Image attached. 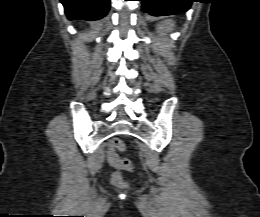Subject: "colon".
I'll return each instance as SVG.
<instances>
[{
  "label": "colon",
  "mask_w": 260,
  "mask_h": 217,
  "mask_svg": "<svg viewBox=\"0 0 260 217\" xmlns=\"http://www.w3.org/2000/svg\"><path fill=\"white\" fill-rule=\"evenodd\" d=\"M111 146L120 151H123L125 149V145L122 140L116 138L111 141ZM117 166L118 170L113 173L111 181L117 187H125L126 181L124 180L121 171H131L132 162L128 158L118 159Z\"/></svg>",
  "instance_id": "colon-1"
}]
</instances>
